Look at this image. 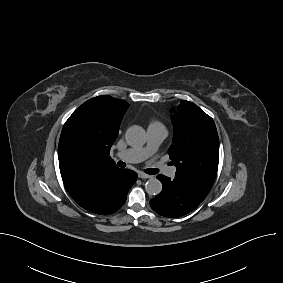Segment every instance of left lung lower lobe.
<instances>
[{
  "label": "left lung lower lobe",
  "instance_id": "1",
  "mask_svg": "<svg viewBox=\"0 0 283 283\" xmlns=\"http://www.w3.org/2000/svg\"><path fill=\"white\" fill-rule=\"evenodd\" d=\"M163 185L162 191L150 200L151 208L159 215L171 218L181 217L194 210L205 197L191 186L174 178L158 175Z\"/></svg>",
  "mask_w": 283,
  "mask_h": 283
}]
</instances>
